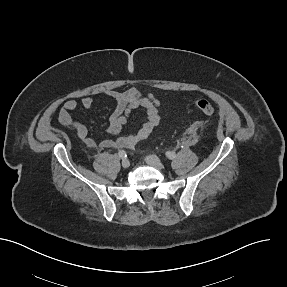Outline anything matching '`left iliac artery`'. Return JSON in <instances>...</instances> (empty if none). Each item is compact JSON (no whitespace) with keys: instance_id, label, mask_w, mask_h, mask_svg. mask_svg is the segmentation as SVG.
Here are the masks:
<instances>
[{"instance_id":"obj_1","label":"left iliac artery","mask_w":287,"mask_h":287,"mask_svg":"<svg viewBox=\"0 0 287 287\" xmlns=\"http://www.w3.org/2000/svg\"><path fill=\"white\" fill-rule=\"evenodd\" d=\"M165 155L168 159H174L176 157V154L173 151H167Z\"/></svg>"}]
</instances>
